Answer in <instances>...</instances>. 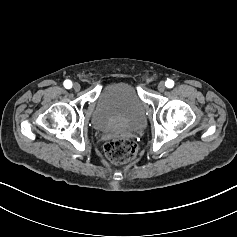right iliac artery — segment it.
I'll return each mask as SVG.
<instances>
[{
    "mask_svg": "<svg viewBox=\"0 0 237 237\" xmlns=\"http://www.w3.org/2000/svg\"><path fill=\"white\" fill-rule=\"evenodd\" d=\"M64 87L66 89H70L72 87V82L70 80H65L64 81Z\"/></svg>",
    "mask_w": 237,
    "mask_h": 237,
    "instance_id": "1",
    "label": "right iliac artery"
}]
</instances>
